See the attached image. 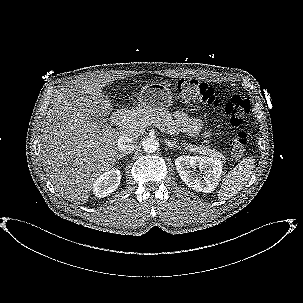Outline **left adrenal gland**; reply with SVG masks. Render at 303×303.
<instances>
[{
  "mask_svg": "<svg viewBox=\"0 0 303 303\" xmlns=\"http://www.w3.org/2000/svg\"><path fill=\"white\" fill-rule=\"evenodd\" d=\"M165 143L169 148L180 149V146H178L175 142H170L169 140L165 139Z\"/></svg>",
  "mask_w": 303,
  "mask_h": 303,
  "instance_id": "obj_1",
  "label": "left adrenal gland"
}]
</instances>
